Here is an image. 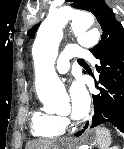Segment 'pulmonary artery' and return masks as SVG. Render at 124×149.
Returning a JSON list of instances; mask_svg holds the SVG:
<instances>
[{"label":"pulmonary artery","instance_id":"obj_1","mask_svg":"<svg viewBox=\"0 0 124 149\" xmlns=\"http://www.w3.org/2000/svg\"><path fill=\"white\" fill-rule=\"evenodd\" d=\"M74 58H82V59H91V53L76 44H68L63 49L62 53L59 56L56 70L59 74L66 73L70 68V62Z\"/></svg>","mask_w":124,"mask_h":149}]
</instances>
